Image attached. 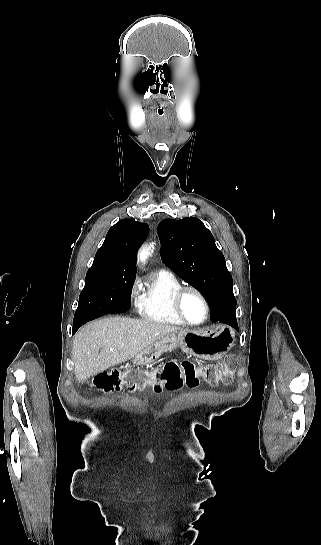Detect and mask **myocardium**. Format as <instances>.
<instances>
[{"label": "myocardium", "mask_w": 321, "mask_h": 545, "mask_svg": "<svg viewBox=\"0 0 321 545\" xmlns=\"http://www.w3.org/2000/svg\"><path fill=\"white\" fill-rule=\"evenodd\" d=\"M187 291L195 292L200 297V299H201V301H202V303L204 305L205 315H204L203 319L201 321H199V322H196V323L190 322L189 320H187L184 317V315L181 312V308H180L181 298H182L183 294L185 292H187ZM170 309H171V312H172L173 316L182 325L188 326V327L202 326L207 322V320L209 319V316H210V305H209L207 297L205 296V294L199 288H197L196 286H193V285L180 286L179 288H177L172 293L171 300H170Z\"/></svg>", "instance_id": "f54148a6"}]
</instances>
